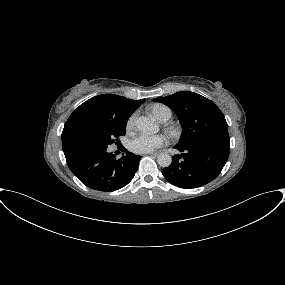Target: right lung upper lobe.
<instances>
[{
  "mask_svg": "<svg viewBox=\"0 0 285 285\" xmlns=\"http://www.w3.org/2000/svg\"><path fill=\"white\" fill-rule=\"evenodd\" d=\"M145 101L127 99L114 94H102L85 101L68 118L62 132L64 154L82 147V143L103 126L112 122H127Z\"/></svg>",
  "mask_w": 285,
  "mask_h": 285,
  "instance_id": "cb5924a9",
  "label": "right lung upper lobe"
}]
</instances>
